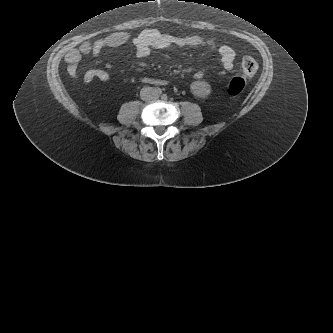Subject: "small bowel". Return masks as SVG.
<instances>
[{"instance_id": "1", "label": "small bowel", "mask_w": 333, "mask_h": 333, "mask_svg": "<svg viewBox=\"0 0 333 333\" xmlns=\"http://www.w3.org/2000/svg\"><path fill=\"white\" fill-rule=\"evenodd\" d=\"M126 40V36L123 33H114L108 36L104 41L97 42L92 46H85L82 51H91L94 56H98L101 52L102 46L115 47ZM195 43L193 38L189 37H163L156 34H146L139 37L136 40V55L139 58L147 57L152 46H178L188 47ZM219 53L222 57L223 66L225 69L230 70L233 68V61L235 58V52L228 46H221ZM81 60V51L77 49H71L66 54L67 70L71 77L76 78L78 76V64ZM203 77L201 72L194 75V78L200 80ZM93 79H99L102 82H109L111 77L109 73L100 69L88 70L83 77L86 84L90 83ZM146 81V79H143ZM166 83V82H165Z\"/></svg>"}]
</instances>
